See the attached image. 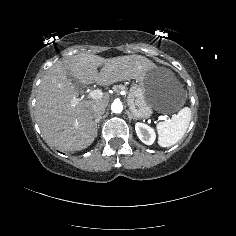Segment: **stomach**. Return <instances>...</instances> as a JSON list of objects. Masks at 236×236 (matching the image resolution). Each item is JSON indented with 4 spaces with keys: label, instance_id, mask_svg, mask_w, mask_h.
<instances>
[{
    "label": "stomach",
    "instance_id": "0dacf381",
    "mask_svg": "<svg viewBox=\"0 0 236 236\" xmlns=\"http://www.w3.org/2000/svg\"><path fill=\"white\" fill-rule=\"evenodd\" d=\"M127 101L135 118L146 119L153 110L164 114L178 111L185 104L186 94L172 72L155 67L131 87Z\"/></svg>",
    "mask_w": 236,
    "mask_h": 236
}]
</instances>
